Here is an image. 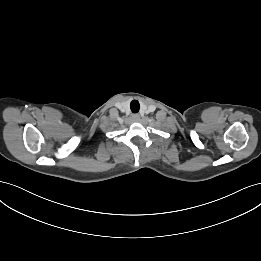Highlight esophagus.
<instances>
[{
	"instance_id": "esophagus-1",
	"label": "esophagus",
	"mask_w": 261,
	"mask_h": 261,
	"mask_svg": "<svg viewBox=\"0 0 261 261\" xmlns=\"http://www.w3.org/2000/svg\"><path fill=\"white\" fill-rule=\"evenodd\" d=\"M132 119H133V121L138 122V121H140V116L138 114H134L132 116Z\"/></svg>"
}]
</instances>
